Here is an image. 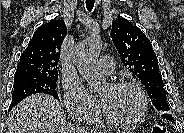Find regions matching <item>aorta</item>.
Here are the masks:
<instances>
[{"mask_svg": "<svg viewBox=\"0 0 184 133\" xmlns=\"http://www.w3.org/2000/svg\"><path fill=\"white\" fill-rule=\"evenodd\" d=\"M101 49L102 41L98 35L84 39L74 48V63L91 91L100 89L106 82L104 76L96 69Z\"/></svg>", "mask_w": 184, "mask_h": 133, "instance_id": "obj_1", "label": "aorta"}]
</instances>
